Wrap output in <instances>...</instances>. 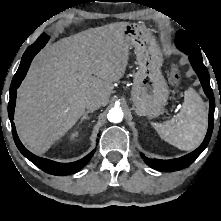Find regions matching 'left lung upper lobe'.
I'll list each match as a JSON object with an SVG mask.
<instances>
[{
	"label": "left lung upper lobe",
	"mask_w": 221,
	"mask_h": 221,
	"mask_svg": "<svg viewBox=\"0 0 221 221\" xmlns=\"http://www.w3.org/2000/svg\"><path fill=\"white\" fill-rule=\"evenodd\" d=\"M175 42L181 51L185 52L190 56L202 59L199 46L187 31L184 30L178 31Z\"/></svg>",
	"instance_id": "left-lung-upper-lobe-1"
}]
</instances>
